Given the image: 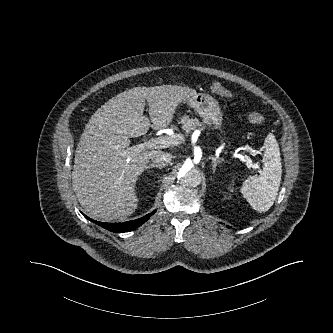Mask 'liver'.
Segmentation results:
<instances>
[{
    "label": "liver",
    "instance_id": "1",
    "mask_svg": "<svg viewBox=\"0 0 333 333\" xmlns=\"http://www.w3.org/2000/svg\"><path fill=\"white\" fill-rule=\"evenodd\" d=\"M177 85L134 87L117 94L90 118L76 149L72 187L84 210L100 221L124 220L138 207L135 183L162 151H133L130 138L166 128L177 106L195 94ZM145 101L149 116H144Z\"/></svg>",
    "mask_w": 333,
    "mask_h": 333
}]
</instances>
